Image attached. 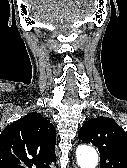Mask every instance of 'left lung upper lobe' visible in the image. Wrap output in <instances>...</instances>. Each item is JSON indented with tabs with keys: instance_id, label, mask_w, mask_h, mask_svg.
Instances as JSON below:
<instances>
[{
	"instance_id": "5c2ea615",
	"label": "left lung upper lobe",
	"mask_w": 127,
	"mask_h": 168,
	"mask_svg": "<svg viewBox=\"0 0 127 168\" xmlns=\"http://www.w3.org/2000/svg\"><path fill=\"white\" fill-rule=\"evenodd\" d=\"M78 136L98 148L100 168H127V132L112 118L100 116L88 120Z\"/></svg>"
}]
</instances>
